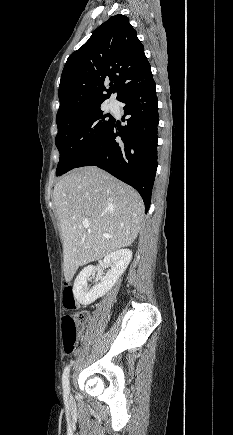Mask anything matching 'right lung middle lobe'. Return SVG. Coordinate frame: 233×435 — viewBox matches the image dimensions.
<instances>
[{
    "label": "right lung middle lobe",
    "mask_w": 233,
    "mask_h": 435,
    "mask_svg": "<svg viewBox=\"0 0 233 435\" xmlns=\"http://www.w3.org/2000/svg\"><path fill=\"white\" fill-rule=\"evenodd\" d=\"M113 121L111 115H103L100 107L56 120L55 144L60 152L56 176L75 168L102 140Z\"/></svg>",
    "instance_id": "right-lung-middle-lobe-1"
}]
</instances>
